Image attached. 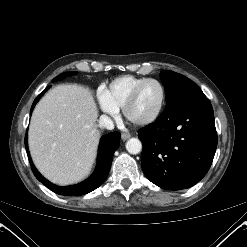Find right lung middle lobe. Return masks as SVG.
Returning <instances> with one entry per match:
<instances>
[{
  "label": "right lung middle lobe",
  "instance_id": "obj_1",
  "mask_svg": "<svg viewBox=\"0 0 247 247\" xmlns=\"http://www.w3.org/2000/svg\"><path fill=\"white\" fill-rule=\"evenodd\" d=\"M76 73H77L76 71L62 73V74L58 75L56 78H54L53 81H57V80L66 78L67 76L72 75V74H76Z\"/></svg>",
  "mask_w": 247,
  "mask_h": 247
}]
</instances>
